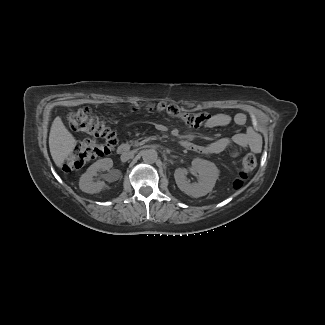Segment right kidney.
I'll return each instance as SVG.
<instances>
[{
	"instance_id": "obj_1",
	"label": "right kidney",
	"mask_w": 325,
	"mask_h": 325,
	"mask_svg": "<svg viewBox=\"0 0 325 325\" xmlns=\"http://www.w3.org/2000/svg\"><path fill=\"white\" fill-rule=\"evenodd\" d=\"M113 161L110 158H104L93 163L87 171L82 174L79 181V188L89 194L99 193L107 187L104 181L93 180V177L97 175V171L103 170L108 171L112 168Z\"/></svg>"
}]
</instances>
